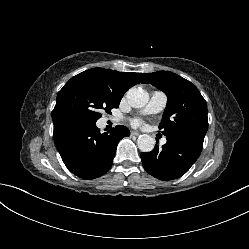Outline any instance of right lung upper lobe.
<instances>
[{"instance_id":"1","label":"right lung upper lobe","mask_w":249,"mask_h":249,"mask_svg":"<svg viewBox=\"0 0 249 249\" xmlns=\"http://www.w3.org/2000/svg\"><path fill=\"white\" fill-rule=\"evenodd\" d=\"M77 76L91 78L99 86L106 89L113 97L122 99L124 93L138 83H143L144 73L118 72L104 68H92Z\"/></svg>"}]
</instances>
